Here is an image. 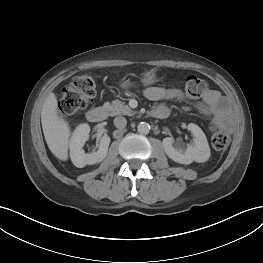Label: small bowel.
<instances>
[{"mask_svg":"<svg viewBox=\"0 0 263 263\" xmlns=\"http://www.w3.org/2000/svg\"><path fill=\"white\" fill-rule=\"evenodd\" d=\"M144 96L151 101L160 102L156 110L167 109L161 102L165 100H184L185 96L180 89L149 87L144 91ZM197 109L208 116H211L216 125L223 129L230 128L229 112L221 94L216 90H208L202 100L196 104Z\"/></svg>","mask_w":263,"mask_h":263,"instance_id":"c3829d8e","label":"small bowel"}]
</instances>
